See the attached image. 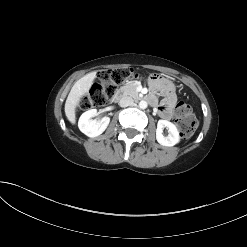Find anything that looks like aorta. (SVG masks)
Wrapping results in <instances>:
<instances>
[{
    "instance_id": "aorta-1",
    "label": "aorta",
    "mask_w": 247,
    "mask_h": 247,
    "mask_svg": "<svg viewBox=\"0 0 247 247\" xmlns=\"http://www.w3.org/2000/svg\"><path fill=\"white\" fill-rule=\"evenodd\" d=\"M147 106H148V104H147L146 101L141 100V101L139 102V107H140V109H146Z\"/></svg>"
}]
</instances>
